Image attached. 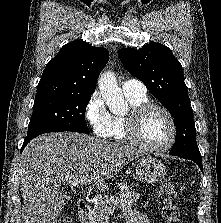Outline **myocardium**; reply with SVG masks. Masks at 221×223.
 <instances>
[{
	"label": "myocardium",
	"instance_id": "1",
	"mask_svg": "<svg viewBox=\"0 0 221 223\" xmlns=\"http://www.w3.org/2000/svg\"><path fill=\"white\" fill-rule=\"evenodd\" d=\"M152 109H157L162 111L167 116L170 124V130H171L170 138L162 146H152L147 143H144L139 139L138 136V128L142 117L146 112ZM125 137L126 140L129 141L133 146L142 149L144 151L164 152L169 148H171L177 139V125L175 122V118L168 108L158 103L146 102L134 106L132 107L130 113L126 116Z\"/></svg>",
	"mask_w": 221,
	"mask_h": 223
}]
</instances>
